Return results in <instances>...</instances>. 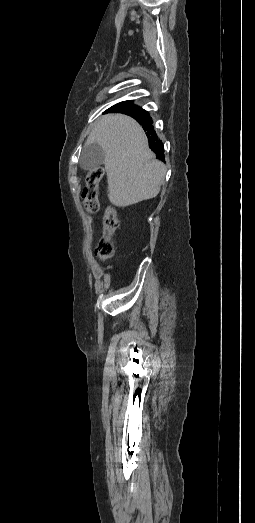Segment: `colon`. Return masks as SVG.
I'll return each mask as SVG.
<instances>
[{
  "label": "colon",
  "mask_w": 255,
  "mask_h": 523,
  "mask_svg": "<svg viewBox=\"0 0 255 523\" xmlns=\"http://www.w3.org/2000/svg\"><path fill=\"white\" fill-rule=\"evenodd\" d=\"M104 170L101 167L90 169L86 176V185L82 193L83 205L88 213H96L99 210V183L103 177ZM103 233L99 239L95 255L100 261H108L114 257L115 247L113 234L119 228L117 211L113 206H108L102 218Z\"/></svg>",
  "instance_id": "colon-1"
}]
</instances>
